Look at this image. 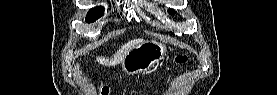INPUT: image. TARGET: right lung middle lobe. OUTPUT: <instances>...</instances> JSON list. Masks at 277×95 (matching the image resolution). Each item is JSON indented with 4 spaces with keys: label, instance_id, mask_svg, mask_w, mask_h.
I'll use <instances>...</instances> for the list:
<instances>
[{
    "label": "right lung middle lobe",
    "instance_id": "1",
    "mask_svg": "<svg viewBox=\"0 0 277 95\" xmlns=\"http://www.w3.org/2000/svg\"><path fill=\"white\" fill-rule=\"evenodd\" d=\"M104 13V9L102 7L92 8L86 17V22L91 23L100 18Z\"/></svg>",
    "mask_w": 277,
    "mask_h": 95
}]
</instances>
